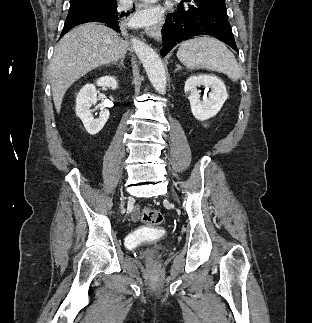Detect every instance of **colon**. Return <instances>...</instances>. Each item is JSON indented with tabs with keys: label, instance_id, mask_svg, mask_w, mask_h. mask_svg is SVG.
I'll return each instance as SVG.
<instances>
[{
	"label": "colon",
	"instance_id": "colon-1",
	"mask_svg": "<svg viewBox=\"0 0 312 323\" xmlns=\"http://www.w3.org/2000/svg\"><path fill=\"white\" fill-rule=\"evenodd\" d=\"M141 220L145 223H149L152 225H159L163 222L164 216L163 213L159 210L152 209L150 207H142L141 208ZM151 269H158V262H151Z\"/></svg>",
	"mask_w": 312,
	"mask_h": 323
}]
</instances>
